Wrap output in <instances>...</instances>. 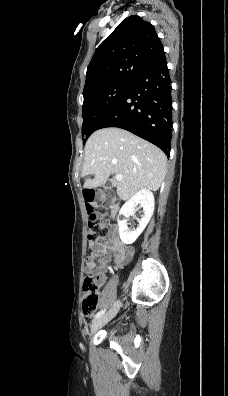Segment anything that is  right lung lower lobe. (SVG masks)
<instances>
[{"label":"right lung lower lobe","mask_w":228,"mask_h":396,"mask_svg":"<svg viewBox=\"0 0 228 396\" xmlns=\"http://www.w3.org/2000/svg\"><path fill=\"white\" fill-rule=\"evenodd\" d=\"M171 81L163 47L131 82L98 129L118 127L153 143L169 156L172 137Z\"/></svg>","instance_id":"1"}]
</instances>
